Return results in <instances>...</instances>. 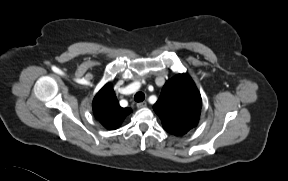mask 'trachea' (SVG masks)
Here are the masks:
<instances>
[{
  "label": "trachea",
  "instance_id": "obj_1",
  "mask_svg": "<svg viewBox=\"0 0 288 181\" xmlns=\"http://www.w3.org/2000/svg\"><path fill=\"white\" fill-rule=\"evenodd\" d=\"M145 99V94L143 92H137L134 96L136 102H142Z\"/></svg>",
  "mask_w": 288,
  "mask_h": 181
}]
</instances>
